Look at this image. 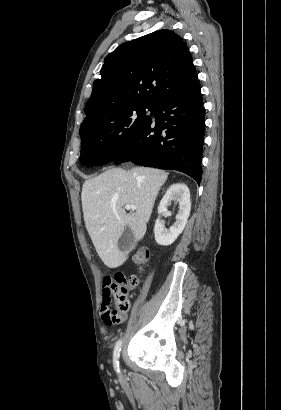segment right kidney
Wrapping results in <instances>:
<instances>
[{
	"label": "right kidney",
	"mask_w": 281,
	"mask_h": 410,
	"mask_svg": "<svg viewBox=\"0 0 281 410\" xmlns=\"http://www.w3.org/2000/svg\"><path fill=\"white\" fill-rule=\"evenodd\" d=\"M179 204V212L176 221L169 229L164 227L160 217L155 221L154 234L157 244L168 246L171 245L184 230L191 210L190 191L183 183H176L169 187L163 196L159 206L158 214L167 211V207L172 203Z\"/></svg>",
	"instance_id": "right-kidney-1"
}]
</instances>
